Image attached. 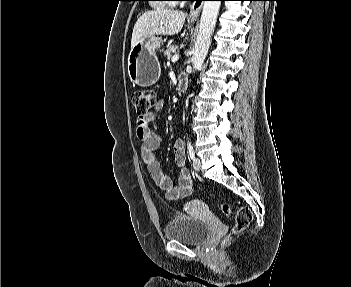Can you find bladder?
<instances>
[{"label":"bladder","mask_w":351,"mask_h":287,"mask_svg":"<svg viewBox=\"0 0 351 287\" xmlns=\"http://www.w3.org/2000/svg\"><path fill=\"white\" fill-rule=\"evenodd\" d=\"M210 234L207 221L188 216H176L165 227V236L169 240L180 241L189 245L202 243Z\"/></svg>","instance_id":"1"}]
</instances>
